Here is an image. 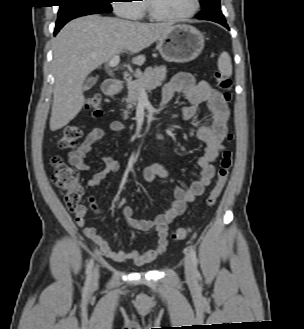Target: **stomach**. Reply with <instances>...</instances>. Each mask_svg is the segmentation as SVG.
<instances>
[{
  "mask_svg": "<svg viewBox=\"0 0 304 329\" xmlns=\"http://www.w3.org/2000/svg\"><path fill=\"white\" fill-rule=\"evenodd\" d=\"M204 48L203 34L193 26L174 25L158 42L161 56L170 62L186 63L199 56Z\"/></svg>",
  "mask_w": 304,
  "mask_h": 329,
  "instance_id": "1",
  "label": "stomach"
}]
</instances>
